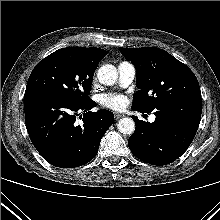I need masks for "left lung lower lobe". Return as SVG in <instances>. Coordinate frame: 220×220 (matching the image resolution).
<instances>
[{"instance_id": "0a47b994", "label": "left lung lower lobe", "mask_w": 220, "mask_h": 220, "mask_svg": "<svg viewBox=\"0 0 220 220\" xmlns=\"http://www.w3.org/2000/svg\"><path fill=\"white\" fill-rule=\"evenodd\" d=\"M201 113V98L192 97L162 105L154 112L156 120L153 124L132 117L136 129L128 139L131 152L152 165L172 163L186 151L194 139Z\"/></svg>"}]
</instances>
